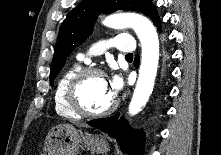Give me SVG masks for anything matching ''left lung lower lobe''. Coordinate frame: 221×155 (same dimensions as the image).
Wrapping results in <instances>:
<instances>
[{
	"instance_id": "left-lung-lower-lobe-1",
	"label": "left lung lower lobe",
	"mask_w": 221,
	"mask_h": 155,
	"mask_svg": "<svg viewBox=\"0 0 221 155\" xmlns=\"http://www.w3.org/2000/svg\"><path fill=\"white\" fill-rule=\"evenodd\" d=\"M149 17L160 29V19L157 15L156 8H154ZM138 56H136L134 64L138 67ZM89 125L107 132L112 138H116L119 146L129 155H143L144 149V135L141 131L133 130L129 127L127 121L119 114L112 117L95 119L87 122Z\"/></svg>"
}]
</instances>
